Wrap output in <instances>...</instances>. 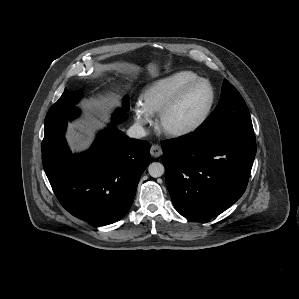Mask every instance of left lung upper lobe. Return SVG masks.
I'll return each mask as SVG.
<instances>
[{
    "label": "left lung upper lobe",
    "instance_id": "5c2ea615",
    "mask_svg": "<svg viewBox=\"0 0 299 299\" xmlns=\"http://www.w3.org/2000/svg\"><path fill=\"white\" fill-rule=\"evenodd\" d=\"M207 136L254 134L248 107L236 88L224 80L221 99L208 119L195 131Z\"/></svg>",
    "mask_w": 299,
    "mask_h": 299
}]
</instances>
